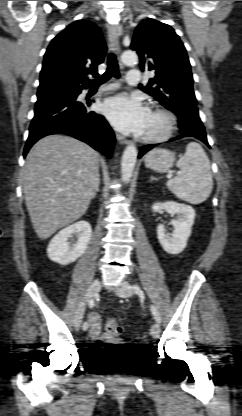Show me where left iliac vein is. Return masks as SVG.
<instances>
[{
  "label": "left iliac vein",
  "mask_w": 242,
  "mask_h": 416,
  "mask_svg": "<svg viewBox=\"0 0 242 416\" xmlns=\"http://www.w3.org/2000/svg\"><path fill=\"white\" fill-rule=\"evenodd\" d=\"M115 293L120 297H130L133 294V290L128 282L123 281L121 286L115 290ZM150 332L153 337H158L161 332L160 325L154 322L151 325Z\"/></svg>",
  "instance_id": "obj_1"
}]
</instances>
